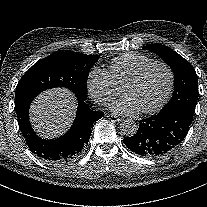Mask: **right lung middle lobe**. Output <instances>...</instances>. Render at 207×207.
<instances>
[{
    "instance_id": "right-lung-middle-lobe-1",
    "label": "right lung middle lobe",
    "mask_w": 207,
    "mask_h": 207,
    "mask_svg": "<svg viewBox=\"0 0 207 207\" xmlns=\"http://www.w3.org/2000/svg\"><path fill=\"white\" fill-rule=\"evenodd\" d=\"M97 55L65 51L51 54L36 62L19 80L15 92V108L31 103L42 91L66 87L77 99L87 98V79Z\"/></svg>"
}]
</instances>
